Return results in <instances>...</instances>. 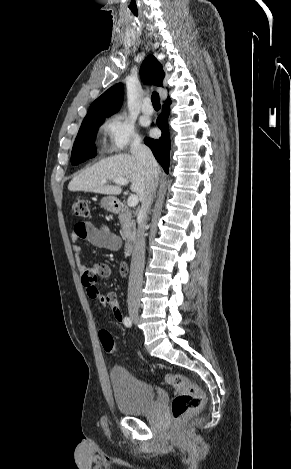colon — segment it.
Listing matches in <instances>:
<instances>
[{"label":"colon","mask_w":291,"mask_h":469,"mask_svg":"<svg viewBox=\"0 0 291 469\" xmlns=\"http://www.w3.org/2000/svg\"><path fill=\"white\" fill-rule=\"evenodd\" d=\"M72 214L76 217H87L89 214L87 200L84 198H76L72 204ZM121 273H126L125 265H121ZM95 306L97 308H103L105 306V301L103 299L96 298ZM99 340L106 353L110 355L117 354L118 350L110 332L107 330H101L99 332ZM165 382L175 391V396L170 405L171 415L175 420L182 419L186 414L198 410L204 405L205 395L201 388L183 374H167Z\"/></svg>","instance_id":"obj_1"}]
</instances>
